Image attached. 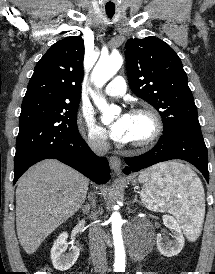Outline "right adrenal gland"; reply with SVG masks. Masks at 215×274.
<instances>
[{
	"label": "right adrenal gland",
	"instance_id": "obj_1",
	"mask_svg": "<svg viewBox=\"0 0 215 274\" xmlns=\"http://www.w3.org/2000/svg\"><path fill=\"white\" fill-rule=\"evenodd\" d=\"M91 201H92V206H94V201L92 199ZM81 210L83 214H88L90 210V205L88 204V205L82 206Z\"/></svg>",
	"mask_w": 215,
	"mask_h": 274
}]
</instances>
